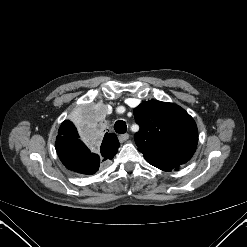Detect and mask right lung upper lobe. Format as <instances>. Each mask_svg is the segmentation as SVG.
<instances>
[{
  "instance_id": "obj_1",
  "label": "right lung upper lobe",
  "mask_w": 247,
  "mask_h": 247,
  "mask_svg": "<svg viewBox=\"0 0 247 247\" xmlns=\"http://www.w3.org/2000/svg\"><path fill=\"white\" fill-rule=\"evenodd\" d=\"M58 134L70 135L79 138L76 127L70 121H64L61 124ZM93 147L94 149L91 151L96 152L101 157V160L103 161L102 164H104L106 160L111 159L116 154L119 147V142L115 134L106 133L104 135L102 143H96Z\"/></svg>"
}]
</instances>
